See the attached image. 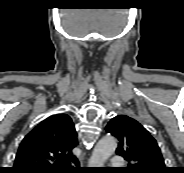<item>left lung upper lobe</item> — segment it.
I'll list each match as a JSON object with an SVG mask.
<instances>
[{"instance_id": "1", "label": "left lung upper lobe", "mask_w": 184, "mask_h": 173, "mask_svg": "<svg viewBox=\"0 0 184 173\" xmlns=\"http://www.w3.org/2000/svg\"><path fill=\"white\" fill-rule=\"evenodd\" d=\"M106 131L118 139L116 154L128 161L124 173H167L156 140L136 120L126 115L116 116Z\"/></svg>"}]
</instances>
